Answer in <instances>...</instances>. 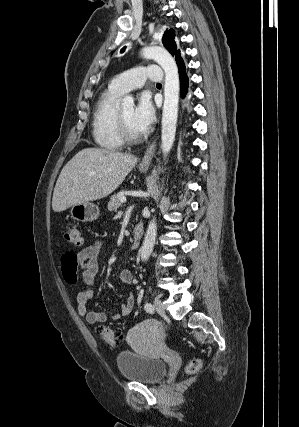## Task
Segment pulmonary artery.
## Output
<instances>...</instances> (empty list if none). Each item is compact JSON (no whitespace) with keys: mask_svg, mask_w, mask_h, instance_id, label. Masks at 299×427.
Returning a JSON list of instances; mask_svg holds the SVG:
<instances>
[{"mask_svg":"<svg viewBox=\"0 0 299 427\" xmlns=\"http://www.w3.org/2000/svg\"><path fill=\"white\" fill-rule=\"evenodd\" d=\"M163 70L158 65L141 66L130 69L118 75L111 82L113 88L121 93L141 88L146 80L160 82L163 80Z\"/></svg>","mask_w":299,"mask_h":427,"instance_id":"obj_1","label":"pulmonary artery"}]
</instances>
